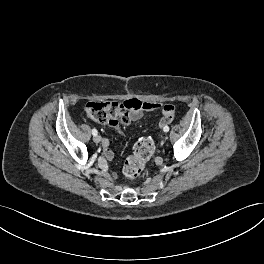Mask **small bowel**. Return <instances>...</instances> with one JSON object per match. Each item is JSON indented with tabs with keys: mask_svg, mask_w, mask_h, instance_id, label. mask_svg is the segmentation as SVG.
Wrapping results in <instances>:
<instances>
[{
	"mask_svg": "<svg viewBox=\"0 0 264 264\" xmlns=\"http://www.w3.org/2000/svg\"><path fill=\"white\" fill-rule=\"evenodd\" d=\"M128 112L129 121H137L142 118L143 113L147 111H153L157 109H161L162 111V119L168 118L169 121L161 124L160 126L163 127L164 125H167L172 122L174 116H175V108L174 106L170 104L161 105L156 102H142L138 99H129L124 102H122ZM103 148H104V155L108 160H111L113 157V153L109 147V142L105 140L103 142Z\"/></svg>",
	"mask_w": 264,
	"mask_h": 264,
	"instance_id": "1",
	"label": "small bowel"
}]
</instances>
